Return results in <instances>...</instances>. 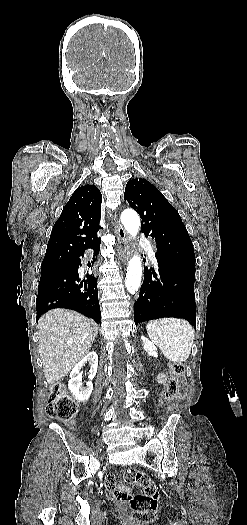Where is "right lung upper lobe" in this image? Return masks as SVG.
Here are the masks:
<instances>
[{
    "instance_id": "obj_1",
    "label": "right lung upper lobe",
    "mask_w": 247,
    "mask_h": 525,
    "mask_svg": "<svg viewBox=\"0 0 247 525\" xmlns=\"http://www.w3.org/2000/svg\"><path fill=\"white\" fill-rule=\"evenodd\" d=\"M101 193L96 186L78 187L53 226L41 267L58 256L70 257L81 248L98 239L102 229Z\"/></svg>"
}]
</instances>
